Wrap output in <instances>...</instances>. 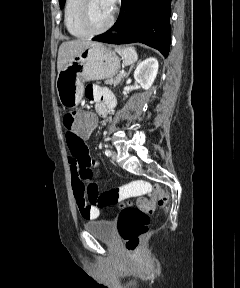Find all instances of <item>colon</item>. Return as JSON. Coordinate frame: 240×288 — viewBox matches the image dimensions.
Here are the masks:
<instances>
[{"instance_id": "5ec220e1", "label": "colon", "mask_w": 240, "mask_h": 288, "mask_svg": "<svg viewBox=\"0 0 240 288\" xmlns=\"http://www.w3.org/2000/svg\"><path fill=\"white\" fill-rule=\"evenodd\" d=\"M63 124L67 134L81 137L91 132L95 124V116L87 111L74 110L65 114ZM131 191L141 193L149 191L152 194L150 199L141 198L136 204H120V216L118 230L128 253L137 252L142 237L148 230L150 216L155 206L163 207L168 202V194L157 185H150L146 182L135 183ZM88 200L98 207H106L119 203L122 200L119 189H111L102 194L90 192Z\"/></svg>"}]
</instances>
